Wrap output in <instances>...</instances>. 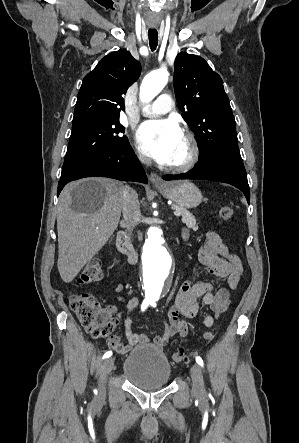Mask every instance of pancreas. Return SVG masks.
Listing matches in <instances>:
<instances>
[{"label": "pancreas", "mask_w": 299, "mask_h": 443, "mask_svg": "<svg viewBox=\"0 0 299 443\" xmlns=\"http://www.w3.org/2000/svg\"><path fill=\"white\" fill-rule=\"evenodd\" d=\"M172 209L181 212L182 222L185 223L188 228H191L195 231L198 230L197 221L195 217L191 214V212L177 204H173Z\"/></svg>", "instance_id": "obj_1"}]
</instances>
